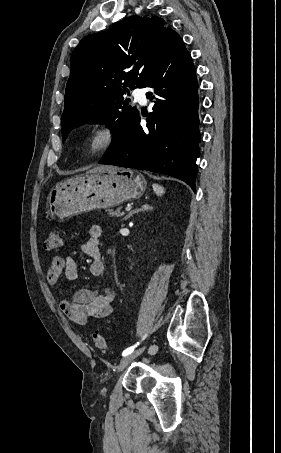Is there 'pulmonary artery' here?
Returning a JSON list of instances; mask_svg holds the SVG:
<instances>
[{
  "mask_svg": "<svg viewBox=\"0 0 281 453\" xmlns=\"http://www.w3.org/2000/svg\"><path fill=\"white\" fill-rule=\"evenodd\" d=\"M134 99L140 103H146V90L138 89L132 92Z\"/></svg>",
  "mask_w": 281,
  "mask_h": 453,
  "instance_id": "e3ab8cb5",
  "label": "pulmonary artery"
}]
</instances>
